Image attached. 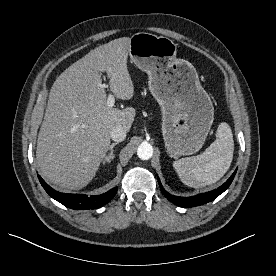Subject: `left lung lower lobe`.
Returning <instances> with one entry per match:
<instances>
[{"label":"left lung lower lobe","instance_id":"1","mask_svg":"<svg viewBox=\"0 0 276 276\" xmlns=\"http://www.w3.org/2000/svg\"><path fill=\"white\" fill-rule=\"evenodd\" d=\"M235 174H236V171L219 188H217L213 191L207 192V193L199 194L197 196L188 197V198L172 196L171 194H169L168 192H166L163 189L159 178H158V182H159V186H160L162 193L168 200H170L172 203H174L180 207L189 208V207L200 206V205L206 204L210 201H213L215 198H217L220 194H222L230 186L231 182L233 181V179L235 177Z\"/></svg>","mask_w":276,"mask_h":276}]
</instances>
